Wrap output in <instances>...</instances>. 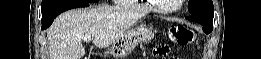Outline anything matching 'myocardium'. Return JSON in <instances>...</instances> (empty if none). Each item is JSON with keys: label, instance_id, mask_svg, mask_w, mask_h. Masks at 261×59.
Returning a JSON list of instances; mask_svg holds the SVG:
<instances>
[{"label": "myocardium", "instance_id": "1", "mask_svg": "<svg viewBox=\"0 0 261 59\" xmlns=\"http://www.w3.org/2000/svg\"><path fill=\"white\" fill-rule=\"evenodd\" d=\"M150 3V5L152 6V8L159 12V13H163V14H170V13H174V12H177L178 10H180L182 8V5L184 3V0H179V4L177 7L175 8H172V9H166V8H161V7H158L156 2L153 1V0H150L148 1Z\"/></svg>", "mask_w": 261, "mask_h": 59}]
</instances>
